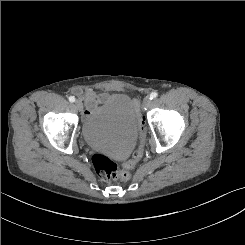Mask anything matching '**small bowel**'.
I'll return each mask as SVG.
<instances>
[{
	"mask_svg": "<svg viewBox=\"0 0 245 245\" xmlns=\"http://www.w3.org/2000/svg\"><path fill=\"white\" fill-rule=\"evenodd\" d=\"M106 98L107 96L105 94H96L93 92L86 93L87 109L85 115H91L92 112L97 108L98 104L106 100Z\"/></svg>",
	"mask_w": 245,
	"mask_h": 245,
	"instance_id": "c3829d8e",
	"label": "small bowel"
}]
</instances>
